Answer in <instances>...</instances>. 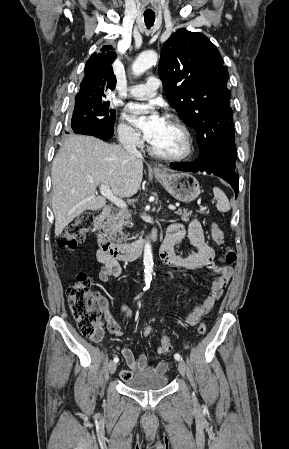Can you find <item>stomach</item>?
I'll use <instances>...</instances> for the list:
<instances>
[{"instance_id": "0dacf381", "label": "stomach", "mask_w": 289, "mask_h": 449, "mask_svg": "<svg viewBox=\"0 0 289 449\" xmlns=\"http://www.w3.org/2000/svg\"><path fill=\"white\" fill-rule=\"evenodd\" d=\"M155 178L171 196L181 202H191L200 194L198 181L189 173H155Z\"/></svg>"}]
</instances>
